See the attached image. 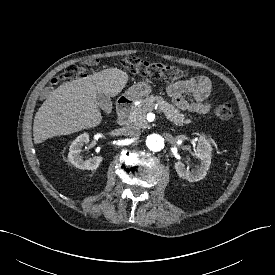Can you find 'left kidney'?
Masks as SVG:
<instances>
[{
    "label": "left kidney",
    "instance_id": "obj_1",
    "mask_svg": "<svg viewBox=\"0 0 275 275\" xmlns=\"http://www.w3.org/2000/svg\"><path fill=\"white\" fill-rule=\"evenodd\" d=\"M211 151L212 147L210 143L204 137H200L196 148V156L201 162L200 167L190 170L185 167L182 161H178L174 166L179 177L187 179L190 182L203 179L211 164Z\"/></svg>",
    "mask_w": 275,
    "mask_h": 275
}]
</instances>
